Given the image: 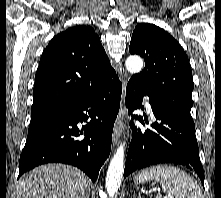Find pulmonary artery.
<instances>
[{"label": "pulmonary artery", "mask_w": 221, "mask_h": 198, "mask_svg": "<svg viewBox=\"0 0 221 198\" xmlns=\"http://www.w3.org/2000/svg\"><path fill=\"white\" fill-rule=\"evenodd\" d=\"M146 107H147V111H148L149 113H152V108H151V105H150V103H149V101H148V98H146Z\"/></svg>", "instance_id": "1"}]
</instances>
